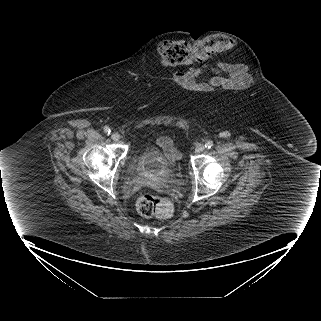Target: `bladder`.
Segmentation results:
<instances>
[{
  "mask_svg": "<svg viewBox=\"0 0 321 321\" xmlns=\"http://www.w3.org/2000/svg\"><path fill=\"white\" fill-rule=\"evenodd\" d=\"M179 161L171 163L157 148H146L134 163V174L145 180L154 181L177 168Z\"/></svg>",
  "mask_w": 321,
  "mask_h": 321,
  "instance_id": "obj_1",
  "label": "bladder"
}]
</instances>
